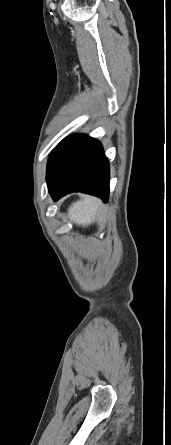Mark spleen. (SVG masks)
<instances>
[{"mask_svg":"<svg viewBox=\"0 0 171 445\" xmlns=\"http://www.w3.org/2000/svg\"><path fill=\"white\" fill-rule=\"evenodd\" d=\"M100 209V201L93 197H85L74 202L68 209L70 220L78 225L90 224Z\"/></svg>","mask_w":171,"mask_h":445,"instance_id":"3e777b00","label":"spleen"}]
</instances>
